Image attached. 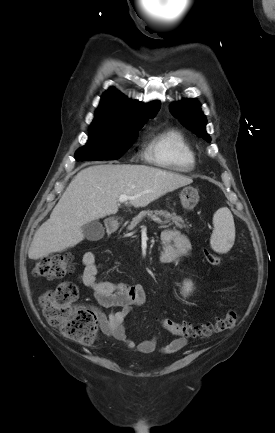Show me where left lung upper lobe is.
Returning <instances> with one entry per match:
<instances>
[{
    "label": "left lung upper lobe",
    "instance_id": "obj_1",
    "mask_svg": "<svg viewBox=\"0 0 275 433\" xmlns=\"http://www.w3.org/2000/svg\"><path fill=\"white\" fill-rule=\"evenodd\" d=\"M170 112L179 118L180 122L188 129L210 142V137L205 130L206 117L203 115L200 105L195 100H185L171 105Z\"/></svg>",
    "mask_w": 275,
    "mask_h": 433
}]
</instances>
